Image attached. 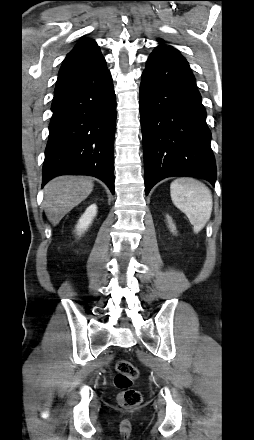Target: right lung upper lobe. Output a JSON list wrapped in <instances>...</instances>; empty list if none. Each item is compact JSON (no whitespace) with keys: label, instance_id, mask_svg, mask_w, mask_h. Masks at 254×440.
Segmentation results:
<instances>
[{"label":"right lung upper lobe","instance_id":"obj_1","mask_svg":"<svg viewBox=\"0 0 254 440\" xmlns=\"http://www.w3.org/2000/svg\"><path fill=\"white\" fill-rule=\"evenodd\" d=\"M104 60L98 45L92 39L79 42L66 56L58 78L77 73L102 63Z\"/></svg>","mask_w":254,"mask_h":440}]
</instances>
